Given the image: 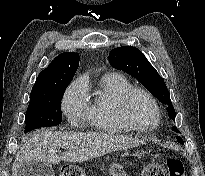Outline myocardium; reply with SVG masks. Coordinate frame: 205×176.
<instances>
[{
    "instance_id": "f54148a6",
    "label": "myocardium",
    "mask_w": 205,
    "mask_h": 176,
    "mask_svg": "<svg viewBox=\"0 0 205 176\" xmlns=\"http://www.w3.org/2000/svg\"><path fill=\"white\" fill-rule=\"evenodd\" d=\"M136 95H143L146 97L149 102L152 104L155 112H156V122L151 126H142L136 124L129 115V103L132 98ZM120 114L122 119L133 129L136 131H148L151 128L159 126L162 120V112L160 106L156 100V98L146 89L133 87L125 92L120 99Z\"/></svg>"
}]
</instances>
